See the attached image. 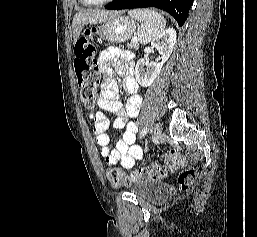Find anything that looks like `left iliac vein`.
Instances as JSON below:
<instances>
[{
    "instance_id": "obj_1",
    "label": "left iliac vein",
    "mask_w": 257,
    "mask_h": 237,
    "mask_svg": "<svg viewBox=\"0 0 257 237\" xmlns=\"http://www.w3.org/2000/svg\"><path fill=\"white\" fill-rule=\"evenodd\" d=\"M162 136V125L160 123H156L152 130V138L154 140H159Z\"/></svg>"
}]
</instances>
